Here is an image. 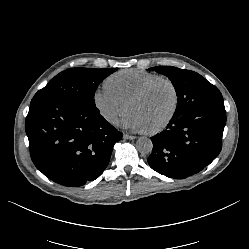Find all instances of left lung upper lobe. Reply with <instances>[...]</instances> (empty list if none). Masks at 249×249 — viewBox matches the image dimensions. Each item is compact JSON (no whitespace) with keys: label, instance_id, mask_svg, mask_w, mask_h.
<instances>
[{"label":"left lung upper lobe","instance_id":"obj_1","mask_svg":"<svg viewBox=\"0 0 249 249\" xmlns=\"http://www.w3.org/2000/svg\"><path fill=\"white\" fill-rule=\"evenodd\" d=\"M148 70L163 74L172 81L178 97L174 117L197 107L224 103L220 91L196 72L170 66H157Z\"/></svg>","mask_w":249,"mask_h":249}]
</instances>
